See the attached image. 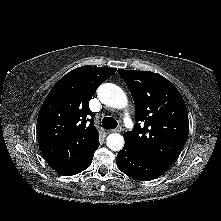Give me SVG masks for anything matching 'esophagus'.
Listing matches in <instances>:
<instances>
[{"instance_id": "obj_1", "label": "esophagus", "mask_w": 221, "mask_h": 221, "mask_svg": "<svg viewBox=\"0 0 221 221\" xmlns=\"http://www.w3.org/2000/svg\"><path fill=\"white\" fill-rule=\"evenodd\" d=\"M121 131H123V128L121 126H119L115 130L108 131V133H111V132H121Z\"/></svg>"}]
</instances>
